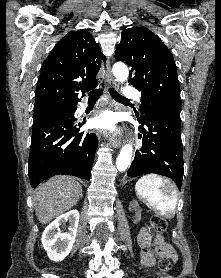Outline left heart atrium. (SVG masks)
Here are the masks:
<instances>
[{"mask_svg":"<svg viewBox=\"0 0 221 278\" xmlns=\"http://www.w3.org/2000/svg\"><path fill=\"white\" fill-rule=\"evenodd\" d=\"M114 118L110 114H104L93 121V126L98 129H113Z\"/></svg>","mask_w":221,"mask_h":278,"instance_id":"obj_1","label":"left heart atrium"}]
</instances>
